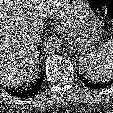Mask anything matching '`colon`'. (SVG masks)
<instances>
[{
    "label": "colon",
    "mask_w": 113,
    "mask_h": 113,
    "mask_svg": "<svg viewBox=\"0 0 113 113\" xmlns=\"http://www.w3.org/2000/svg\"><path fill=\"white\" fill-rule=\"evenodd\" d=\"M90 3L104 16L113 18V0H90Z\"/></svg>",
    "instance_id": "5ec220e1"
}]
</instances>
